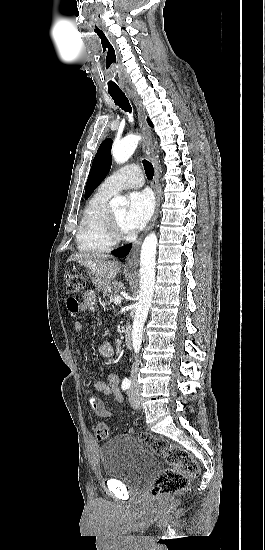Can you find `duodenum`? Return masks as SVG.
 Here are the masks:
<instances>
[{"mask_svg": "<svg viewBox=\"0 0 265 550\" xmlns=\"http://www.w3.org/2000/svg\"><path fill=\"white\" fill-rule=\"evenodd\" d=\"M124 342L127 347L132 346V333L130 329H125L124 331Z\"/></svg>", "mask_w": 265, "mask_h": 550, "instance_id": "duodenum-1", "label": "duodenum"}]
</instances>
